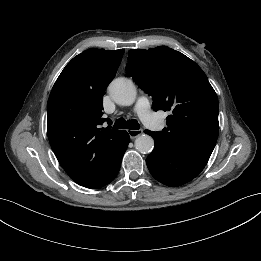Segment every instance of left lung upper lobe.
Instances as JSON below:
<instances>
[{"label": "left lung upper lobe", "mask_w": 261, "mask_h": 261, "mask_svg": "<svg viewBox=\"0 0 261 261\" xmlns=\"http://www.w3.org/2000/svg\"><path fill=\"white\" fill-rule=\"evenodd\" d=\"M127 72L153 97L154 110L169 111L167 127L152 132L190 151H213L219 131L218 98L205 73L184 54L166 46L130 50Z\"/></svg>", "instance_id": "left-lung-upper-lobe-1"}]
</instances>
